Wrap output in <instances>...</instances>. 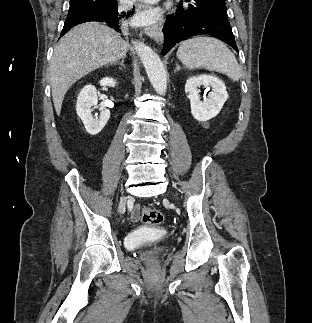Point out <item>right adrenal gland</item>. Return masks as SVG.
Masks as SVG:
<instances>
[{"mask_svg":"<svg viewBox=\"0 0 312 323\" xmlns=\"http://www.w3.org/2000/svg\"><path fill=\"white\" fill-rule=\"evenodd\" d=\"M124 60H125V58H122V60L120 62V66H123V68H125V66H124ZM114 66H117V64H114Z\"/></svg>","mask_w":312,"mask_h":323,"instance_id":"1","label":"right adrenal gland"}]
</instances>
